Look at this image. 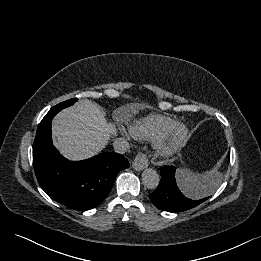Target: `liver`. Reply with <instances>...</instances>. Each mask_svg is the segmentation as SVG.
I'll return each mask as SVG.
<instances>
[{
	"label": "liver",
	"instance_id": "1",
	"mask_svg": "<svg viewBox=\"0 0 261 261\" xmlns=\"http://www.w3.org/2000/svg\"><path fill=\"white\" fill-rule=\"evenodd\" d=\"M55 146L69 160H83L102 151L116 134L103 109L84 99L62 110L52 125Z\"/></svg>",
	"mask_w": 261,
	"mask_h": 261
}]
</instances>
